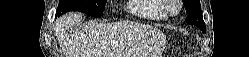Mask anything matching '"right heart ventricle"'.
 I'll use <instances>...</instances> for the list:
<instances>
[{
	"instance_id": "1",
	"label": "right heart ventricle",
	"mask_w": 249,
	"mask_h": 57,
	"mask_svg": "<svg viewBox=\"0 0 249 57\" xmlns=\"http://www.w3.org/2000/svg\"><path fill=\"white\" fill-rule=\"evenodd\" d=\"M166 0H130L128 11L143 20L164 21L168 19Z\"/></svg>"
}]
</instances>
